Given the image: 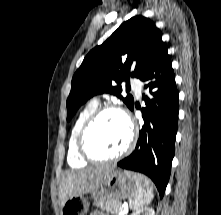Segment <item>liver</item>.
Returning a JSON list of instances; mask_svg holds the SVG:
<instances>
[{
	"label": "liver",
	"mask_w": 221,
	"mask_h": 215,
	"mask_svg": "<svg viewBox=\"0 0 221 215\" xmlns=\"http://www.w3.org/2000/svg\"><path fill=\"white\" fill-rule=\"evenodd\" d=\"M113 170L110 166H99L68 172L59 187L61 207L71 197L91 193L100 186L105 177Z\"/></svg>",
	"instance_id": "6515ba94"
}]
</instances>
